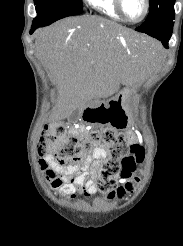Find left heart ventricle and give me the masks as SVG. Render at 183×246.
Wrapping results in <instances>:
<instances>
[{"label":"left heart ventricle","instance_id":"1","mask_svg":"<svg viewBox=\"0 0 183 246\" xmlns=\"http://www.w3.org/2000/svg\"><path fill=\"white\" fill-rule=\"evenodd\" d=\"M124 9L130 19L137 20L144 12V2L143 0H124Z\"/></svg>","mask_w":183,"mask_h":246}]
</instances>
